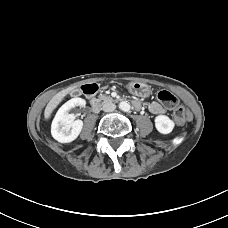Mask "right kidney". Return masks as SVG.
<instances>
[{
	"instance_id": "obj_1",
	"label": "right kidney",
	"mask_w": 228,
	"mask_h": 228,
	"mask_svg": "<svg viewBox=\"0 0 228 228\" xmlns=\"http://www.w3.org/2000/svg\"><path fill=\"white\" fill-rule=\"evenodd\" d=\"M86 102L82 98H73L63 104L57 111L51 125L52 137L60 143H70L80 134L83 121L74 120V115L69 113L74 107H83Z\"/></svg>"
}]
</instances>
